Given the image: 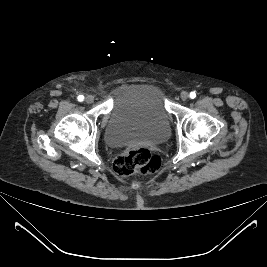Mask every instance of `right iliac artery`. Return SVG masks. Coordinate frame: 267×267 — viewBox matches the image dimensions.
I'll return each instance as SVG.
<instances>
[{
    "label": "right iliac artery",
    "instance_id": "1",
    "mask_svg": "<svg viewBox=\"0 0 267 267\" xmlns=\"http://www.w3.org/2000/svg\"><path fill=\"white\" fill-rule=\"evenodd\" d=\"M83 99H84V97H83L82 95H79V96H78V100H79V101H83Z\"/></svg>",
    "mask_w": 267,
    "mask_h": 267
}]
</instances>
